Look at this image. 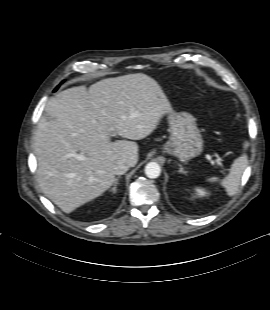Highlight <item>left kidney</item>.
<instances>
[{
	"mask_svg": "<svg viewBox=\"0 0 270 310\" xmlns=\"http://www.w3.org/2000/svg\"><path fill=\"white\" fill-rule=\"evenodd\" d=\"M196 192L200 196H205L207 194V192L204 189H201V188H196Z\"/></svg>",
	"mask_w": 270,
	"mask_h": 310,
	"instance_id": "obj_1",
	"label": "left kidney"
}]
</instances>
